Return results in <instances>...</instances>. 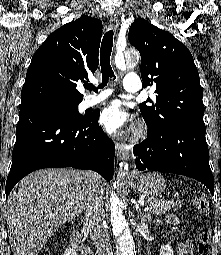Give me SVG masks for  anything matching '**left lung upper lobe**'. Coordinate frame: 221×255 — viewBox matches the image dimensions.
I'll return each instance as SVG.
<instances>
[{"mask_svg": "<svg viewBox=\"0 0 221 255\" xmlns=\"http://www.w3.org/2000/svg\"><path fill=\"white\" fill-rule=\"evenodd\" d=\"M129 42L141 55L144 87L155 85L156 100L139 108L150 129L181 121L205 128L203 90L193 57L172 34L138 18L130 26Z\"/></svg>", "mask_w": 221, "mask_h": 255, "instance_id": "1", "label": "left lung upper lobe"}]
</instances>
